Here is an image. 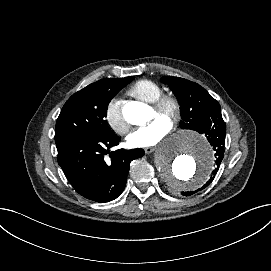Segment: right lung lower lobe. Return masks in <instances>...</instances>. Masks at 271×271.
Instances as JSON below:
<instances>
[{
    "instance_id": "right-lung-lower-lobe-1",
    "label": "right lung lower lobe",
    "mask_w": 271,
    "mask_h": 271,
    "mask_svg": "<svg viewBox=\"0 0 271 271\" xmlns=\"http://www.w3.org/2000/svg\"><path fill=\"white\" fill-rule=\"evenodd\" d=\"M120 138L76 135L56 143L58 164L78 194L95 202H109L124 190L130 162L144 155L142 149L108 148L118 145ZM109 153L110 159L105 155Z\"/></svg>"
}]
</instances>
